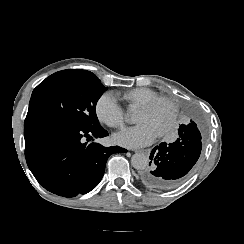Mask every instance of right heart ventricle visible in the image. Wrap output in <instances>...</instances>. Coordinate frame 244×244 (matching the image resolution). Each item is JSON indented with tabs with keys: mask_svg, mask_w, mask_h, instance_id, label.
Returning <instances> with one entry per match:
<instances>
[{
	"mask_svg": "<svg viewBox=\"0 0 244 244\" xmlns=\"http://www.w3.org/2000/svg\"><path fill=\"white\" fill-rule=\"evenodd\" d=\"M115 95L124 100L130 107L137 108L140 105L147 104L159 95L148 88H135L128 91H119Z\"/></svg>",
	"mask_w": 244,
	"mask_h": 244,
	"instance_id": "1",
	"label": "right heart ventricle"
}]
</instances>
